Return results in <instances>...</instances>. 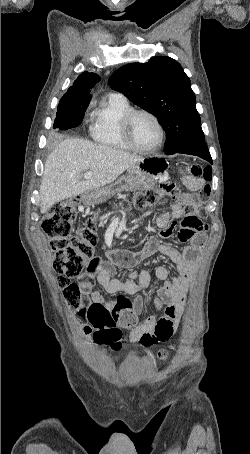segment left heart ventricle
<instances>
[{
    "instance_id": "1",
    "label": "left heart ventricle",
    "mask_w": 250,
    "mask_h": 454,
    "mask_svg": "<svg viewBox=\"0 0 250 454\" xmlns=\"http://www.w3.org/2000/svg\"><path fill=\"white\" fill-rule=\"evenodd\" d=\"M132 137L141 148L154 146L159 139L158 129L151 118L145 115L137 116L132 124Z\"/></svg>"
}]
</instances>
